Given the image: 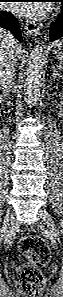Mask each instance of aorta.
Listing matches in <instances>:
<instances>
[{
    "label": "aorta",
    "mask_w": 63,
    "mask_h": 297,
    "mask_svg": "<svg viewBox=\"0 0 63 297\" xmlns=\"http://www.w3.org/2000/svg\"><path fill=\"white\" fill-rule=\"evenodd\" d=\"M43 42L37 41L31 50L25 70L24 97L29 105H34L40 96L41 79L44 67Z\"/></svg>",
    "instance_id": "obj_1"
}]
</instances>
